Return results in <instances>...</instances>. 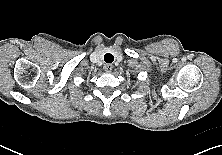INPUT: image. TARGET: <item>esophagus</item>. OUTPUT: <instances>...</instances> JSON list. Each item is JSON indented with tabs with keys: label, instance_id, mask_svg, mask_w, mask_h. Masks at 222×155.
<instances>
[{
	"label": "esophagus",
	"instance_id": "1",
	"mask_svg": "<svg viewBox=\"0 0 222 155\" xmlns=\"http://www.w3.org/2000/svg\"><path fill=\"white\" fill-rule=\"evenodd\" d=\"M104 69L106 72H111L113 69V65L112 64H105Z\"/></svg>",
	"mask_w": 222,
	"mask_h": 155
}]
</instances>
